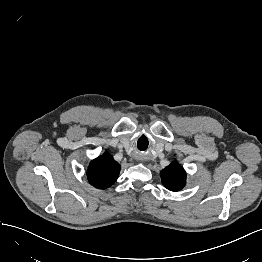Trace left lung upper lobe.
Returning a JSON list of instances; mask_svg holds the SVG:
<instances>
[{"label": "left lung upper lobe", "instance_id": "left-lung-upper-lobe-1", "mask_svg": "<svg viewBox=\"0 0 262 262\" xmlns=\"http://www.w3.org/2000/svg\"><path fill=\"white\" fill-rule=\"evenodd\" d=\"M163 185L171 191L181 190L186 181V173L178 162L174 161L160 172Z\"/></svg>", "mask_w": 262, "mask_h": 262}]
</instances>
